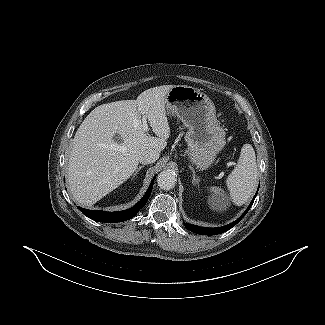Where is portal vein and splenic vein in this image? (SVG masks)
<instances>
[{
	"label": "portal vein and splenic vein",
	"mask_w": 325,
	"mask_h": 325,
	"mask_svg": "<svg viewBox=\"0 0 325 325\" xmlns=\"http://www.w3.org/2000/svg\"><path fill=\"white\" fill-rule=\"evenodd\" d=\"M142 127L144 132H148L149 128L145 117L142 118Z\"/></svg>",
	"instance_id": "portal-vein-and-splenic-vein-1"
}]
</instances>
